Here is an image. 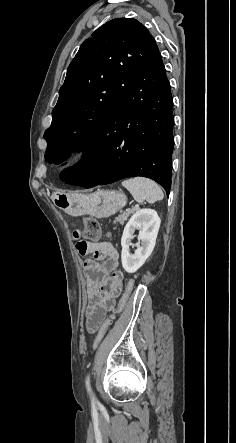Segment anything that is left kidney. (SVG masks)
I'll list each match as a JSON object with an SVG mask.
<instances>
[{
  "mask_svg": "<svg viewBox=\"0 0 236 443\" xmlns=\"http://www.w3.org/2000/svg\"><path fill=\"white\" fill-rule=\"evenodd\" d=\"M161 220L155 210L140 209L126 224L121 238V262L124 270L128 273L136 272L152 254L155 247L157 234ZM141 229L137 249L132 254L130 252L131 240L136 229Z\"/></svg>",
  "mask_w": 236,
  "mask_h": 443,
  "instance_id": "5707ae66",
  "label": "left kidney"
}]
</instances>
